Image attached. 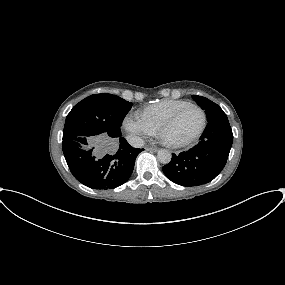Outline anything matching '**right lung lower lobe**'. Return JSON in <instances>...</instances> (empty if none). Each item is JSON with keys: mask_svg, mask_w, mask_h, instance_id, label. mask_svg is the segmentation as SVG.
<instances>
[{"mask_svg": "<svg viewBox=\"0 0 285 285\" xmlns=\"http://www.w3.org/2000/svg\"><path fill=\"white\" fill-rule=\"evenodd\" d=\"M115 140L119 143L118 149L107 154L100 140L78 137L74 141H63V153L73 176L97 190L113 189L124 184L143 149L133 148L121 136Z\"/></svg>", "mask_w": 285, "mask_h": 285, "instance_id": "98d812e1", "label": "right lung lower lobe"}]
</instances>
